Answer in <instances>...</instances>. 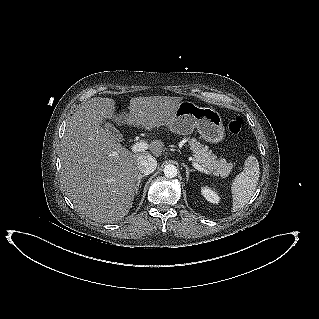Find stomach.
I'll list each match as a JSON object with an SVG mask.
<instances>
[{"instance_id":"stomach-1","label":"stomach","mask_w":319,"mask_h":319,"mask_svg":"<svg viewBox=\"0 0 319 319\" xmlns=\"http://www.w3.org/2000/svg\"><path fill=\"white\" fill-rule=\"evenodd\" d=\"M169 128L180 135L191 134L197 128L201 137L210 143H218L225 136L222 118L215 109L189 101L179 103Z\"/></svg>"}]
</instances>
